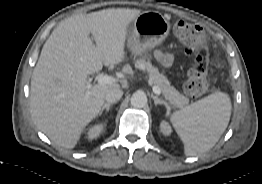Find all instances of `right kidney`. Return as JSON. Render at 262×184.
<instances>
[{
    "label": "right kidney",
    "mask_w": 262,
    "mask_h": 184,
    "mask_svg": "<svg viewBox=\"0 0 262 184\" xmlns=\"http://www.w3.org/2000/svg\"><path fill=\"white\" fill-rule=\"evenodd\" d=\"M103 128H104V124H102V123H98V124L91 126L87 131V136H86L87 139L93 140V139H96L97 137H99Z\"/></svg>",
    "instance_id": "right-kidney-1"
}]
</instances>
